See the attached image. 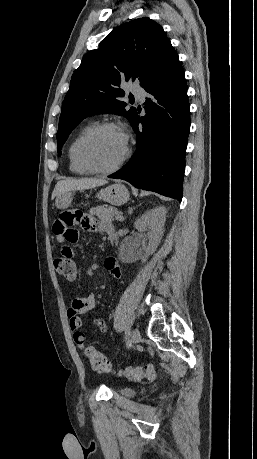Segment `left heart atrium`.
Wrapping results in <instances>:
<instances>
[{
    "instance_id": "obj_1",
    "label": "left heart atrium",
    "mask_w": 257,
    "mask_h": 459,
    "mask_svg": "<svg viewBox=\"0 0 257 459\" xmlns=\"http://www.w3.org/2000/svg\"><path fill=\"white\" fill-rule=\"evenodd\" d=\"M121 133H122V137L124 139V142L127 143V135L124 132H121Z\"/></svg>"
}]
</instances>
